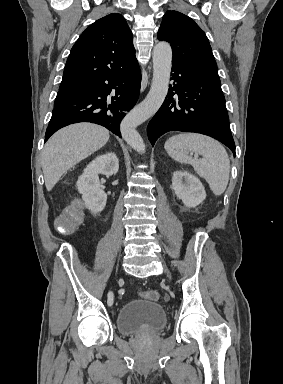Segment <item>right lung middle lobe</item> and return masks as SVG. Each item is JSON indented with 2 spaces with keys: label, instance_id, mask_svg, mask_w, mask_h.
<instances>
[{
  "label": "right lung middle lobe",
  "instance_id": "right-lung-middle-lobe-1",
  "mask_svg": "<svg viewBox=\"0 0 283 384\" xmlns=\"http://www.w3.org/2000/svg\"><path fill=\"white\" fill-rule=\"evenodd\" d=\"M78 91H59L55 99V107L72 100Z\"/></svg>",
  "mask_w": 283,
  "mask_h": 384
}]
</instances>
